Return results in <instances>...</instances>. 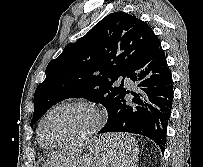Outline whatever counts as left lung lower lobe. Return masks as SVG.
Listing matches in <instances>:
<instances>
[{"mask_svg":"<svg viewBox=\"0 0 203 167\" xmlns=\"http://www.w3.org/2000/svg\"><path fill=\"white\" fill-rule=\"evenodd\" d=\"M127 77L138 82L143 94L125 90L98 133L128 132L151 138L163 151L173 101V81L157 39L136 61ZM132 97V100L125 98ZM132 102L135 105H132ZM115 150L113 144L104 145Z\"/></svg>","mask_w":203,"mask_h":167,"instance_id":"0a47b994","label":"left lung lower lobe"}]
</instances>
